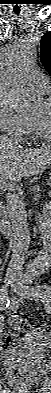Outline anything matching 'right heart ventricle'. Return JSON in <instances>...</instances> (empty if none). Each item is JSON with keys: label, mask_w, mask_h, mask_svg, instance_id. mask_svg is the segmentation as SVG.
I'll return each instance as SVG.
<instances>
[{"label": "right heart ventricle", "mask_w": 51, "mask_h": 393, "mask_svg": "<svg viewBox=\"0 0 51 393\" xmlns=\"http://www.w3.org/2000/svg\"><path fill=\"white\" fill-rule=\"evenodd\" d=\"M28 130H29V134H34V135H40V131L34 121V119L30 118L29 119V125H28Z\"/></svg>", "instance_id": "1"}]
</instances>
